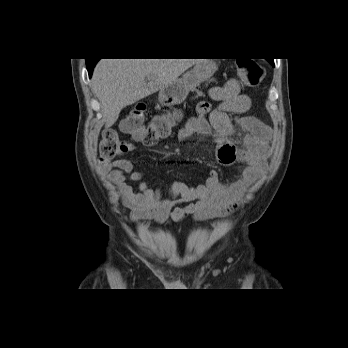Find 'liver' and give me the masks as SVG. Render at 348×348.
Wrapping results in <instances>:
<instances>
[{
    "instance_id": "1",
    "label": "liver",
    "mask_w": 348,
    "mask_h": 348,
    "mask_svg": "<svg viewBox=\"0 0 348 348\" xmlns=\"http://www.w3.org/2000/svg\"><path fill=\"white\" fill-rule=\"evenodd\" d=\"M200 59H101L92 76V90L111 127L123 108L176 81Z\"/></svg>"
}]
</instances>
